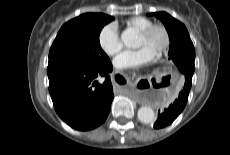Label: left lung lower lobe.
<instances>
[{
	"mask_svg": "<svg viewBox=\"0 0 230 155\" xmlns=\"http://www.w3.org/2000/svg\"><path fill=\"white\" fill-rule=\"evenodd\" d=\"M191 85L192 77H185L184 86L182 87L178 98L171 105H169V107L166 108L163 113L160 114L159 111L160 116L155 122L154 128L159 129L166 127L177 118V116L183 111L187 103Z\"/></svg>",
	"mask_w": 230,
	"mask_h": 155,
	"instance_id": "1",
	"label": "left lung lower lobe"
}]
</instances>
